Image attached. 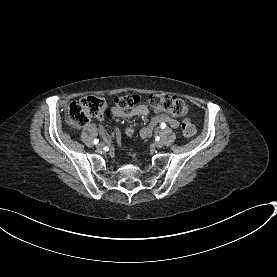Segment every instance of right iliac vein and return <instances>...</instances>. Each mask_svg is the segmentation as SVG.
I'll return each mask as SVG.
<instances>
[{
  "instance_id": "right-iliac-vein-1",
  "label": "right iliac vein",
  "mask_w": 277,
  "mask_h": 277,
  "mask_svg": "<svg viewBox=\"0 0 277 277\" xmlns=\"http://www.w3.org/2000/svg\"><path fill=\"white\" fill-rule=\"evenodd\" d=\"M97 149L101 150L104 147V143L100 142L96 145Z\"/></svg>"
}]
</instances>
